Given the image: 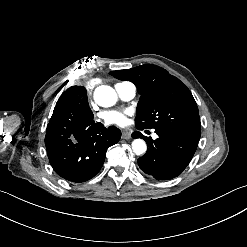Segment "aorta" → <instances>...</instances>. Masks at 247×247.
<instances>
[{
    "label": "aorta",
    "instance_id": "obj_1",
    "mask_svg": "<svg viewBox=\"0 0 247 247\" xmlns=\"http://www.w3.org/2000/svg\"><path fill=\"white\" fill-rule=\"evenodd\" d=\"M95 102L102 107H111L117 101V94L115 90L107 85H101L94 91ZM132 149L136 155H141L146 152L147 146L144 140L135 139L132 142Z\"/></svg>",
    "mask_w": 247,
    "mask_h": 247
}]
</instances>
